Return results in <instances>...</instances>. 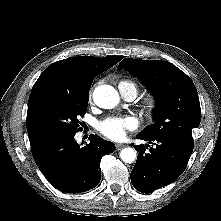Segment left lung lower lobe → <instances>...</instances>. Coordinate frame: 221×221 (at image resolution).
<instances>
[{"label": "left lung lower lobe", "mask_w": 221, "mask_h": 221, "mask_svg": "<svg viewBox=\"0 0 221 221\" xmlns=\"http://www.w3.org/2000/svg\"><path fill=\"white\" fill-rule=\"evenodd\" d=\"M137 138L149 141L155 147L145 152L149 145L135 146L138 157L130 177L136 190L152 193L175 181L184 172L194 146L168 137L140 134Z\"/></svg>", "instance_id": "left-lung-lower-lobe-1"}]
</instances>
